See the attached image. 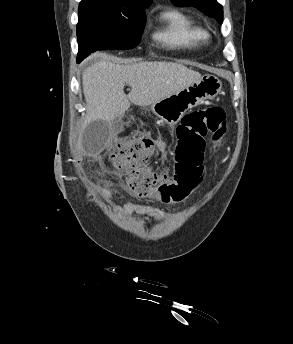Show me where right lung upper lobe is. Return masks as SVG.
I'll use <instances>...</instances> for the list:
<instances>
[{"label":"right lung upper lobe","instance_id":"cb5924a9","mask_svg":"<svg viewBox=\"0 0 293 344\" xmlns=\"http://www.w3.org/2000/svg\"><path fill=\"white\" fill-rule=\"evenodd\" d=\"M86 1L102 2L111 6L130 7L144 12L143 9L149 6L152 0H82L81 2Z\"/></svg>","mask_w":293,"mask_h":344}]
</instances>
